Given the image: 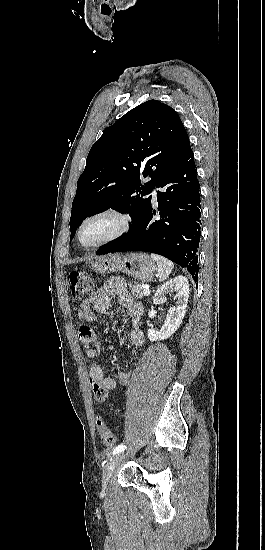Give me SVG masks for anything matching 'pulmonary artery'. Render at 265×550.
<instances>
[{
  "label": "pulmonary artery",
  "mask_w": 265,
  "mask_h": 550,
  "mask_svg": "<svg viewBox=\"0 0 265 550\" xmlns=\"http://www.w3.org/2000/svg\"><path fill=\"white\" fill-rule=\"evenodd\" d=\"M152 196H153V199L155 200V199H156V188H155L154 191L152 192Z\"/></svg>",
  "instance_id": "e3ab8cb5"
}]
</instances>
